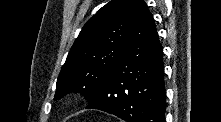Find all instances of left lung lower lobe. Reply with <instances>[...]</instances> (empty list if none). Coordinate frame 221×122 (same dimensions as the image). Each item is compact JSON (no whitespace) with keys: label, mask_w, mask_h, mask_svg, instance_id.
<instances>
[{"label":"left lung lower lobe","mask_w":221,"mask_h":122,"mask_svg":"<svg viewBox=\"0 0 221 122\" xmlns=\"http://www.w3.org/2000/svg\"><path fill=\"white\" fill-rule=\"evenodd\" d=\"M165 99L163 50L152 14L141 0L121 56L86 108L127 122H163Z\"/></svg>","instance_id":"0a47b994"}]
</instances>
